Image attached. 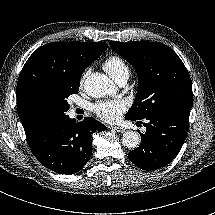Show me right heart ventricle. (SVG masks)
<instances>
[{"instance_id": "obj_1", "label": "right heart ventricle", "mask_w": 215, "mask_h": 215, "mask_svg": "<svg viewBox=\"0 0 215 215\" xmlns=\"http://www.w3.org/2000/svg\"><path fill=\"white\" fill-rule=\"evenodd\" d=\"M103 68L116 81L123 75L129 76V66L123 58L118 55L109 56L103 63Z\"/></svg>"}]
</instances>
